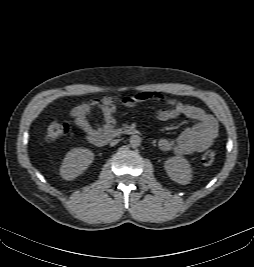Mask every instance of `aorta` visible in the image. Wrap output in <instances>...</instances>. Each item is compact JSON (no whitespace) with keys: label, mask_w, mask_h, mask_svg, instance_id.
<instances>
[{"label":"aorta","mask_w":254,"mask_h":267,"mask_svg":"<svg viewBox=\"0 0 254 267\" xmlns=\"http://www.w3.org/2000/svg\"><path fill=\"white\" fill-rule=\"evenodd\" d=\"M141 144V137L138 135H132L130 137V145L134 148L140 146Z\"/></svg>","instance_id":"762f6f07"}]
</instances>
